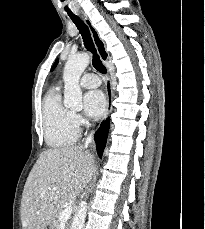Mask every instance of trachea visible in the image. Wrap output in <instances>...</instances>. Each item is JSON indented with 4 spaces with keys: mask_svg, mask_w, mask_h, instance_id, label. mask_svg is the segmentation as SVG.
I'll return each mask as SVG.
<instances>
[{
    "mask_svg": "<svg viewBox=\"0 0 205 229\" xmlns=\"http://www.w3.org/2000/svg\"><path fill=\"white\" fill-rule=\"evenodd\" d=\"M69 17L71 18V20L75 23L76 27L78 28L83 38L85 48L93 54V58H92L93 67L101 73H106V68L103 65L94 47V43L91 38V34H90L88 26L78 16L69 15Z\"/></svg>",
    "mask_w": 205,
    "mask_h": 229,
    "instance_id": "obj_1",
    "label": "trachea"
}]
</instances>
